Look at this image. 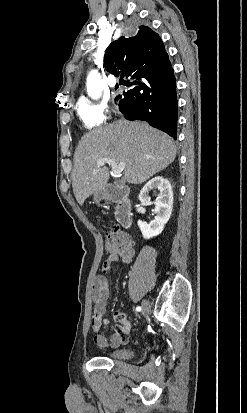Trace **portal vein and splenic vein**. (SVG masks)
Returning <instances> with one entry per match:
<instances>
[{
	"mask_svg": "<svg viewBox=\"0 0 247 413\" xmlns=\"http://www.w3.org/2000/svg\"><path fill=\"white\" fill-rule=\"evenodd\" d=\"M106 162H108V164H111L112 172H114V176H120L126 164V162H116L114 158H98L97 166H103V164H106Z\"/></svg>",
	"mask_w": 247,
	"mask_h": 413,
	"instance_id": "obj_1",
	"label": "portal vein and splenic vein"
}]
</instances>
